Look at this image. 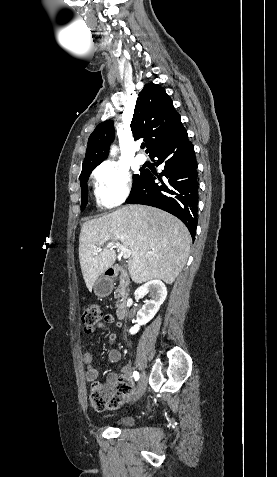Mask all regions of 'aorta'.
<instances>
[{"instance_id": "762f6f07", "label": "aorta", "mask_w": 277, "mask_h": 477, "mask_svg": "<svg viewBox=\"0 0 277 477\" xmlns=\"http://www.w3.org/2000/svg\"><path fill=\"white\" fill-rule=\"evenodd\" d=\"M115 153H116V147H112V149H111V155H115Z\"/></svg>"}]
</instances>
